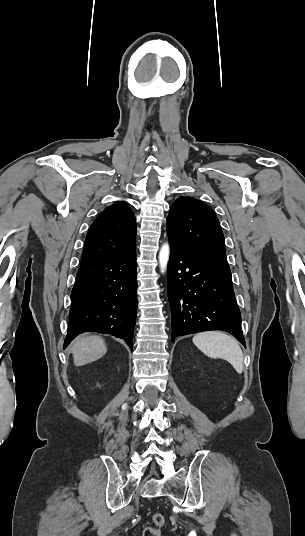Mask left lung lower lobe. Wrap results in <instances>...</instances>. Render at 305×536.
Instances as JSON below:
<instances>
[{
	"label": "left lung lower lobe",
	"instance_id": "obj_1",
	"mask_svg": "<svg viewBox=\"0 0 305 536\" xmlns=\"http://www.w3.org/2000/svg\"><path fill=\"white\" fill-rule=\"evenodd\" d=\"M169 243L167 290L172 341L177 336L224 330L246 347L228 263L186 253Z\"/></svg>",
	"mask_w": 305,
	"mask_h": 536
}]
</instances>
